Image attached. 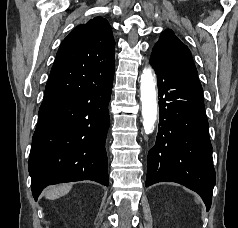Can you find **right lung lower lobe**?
I'll return each mask as SVG.
<instances>
[{
	"mask_svg": "<svg viewBox=\"0 0 238 228\" xmlns=\"http://www.w3.org/2000/svg\"><path fill=\"white\" fill-rule=\"evenodd\" d=\"M113 76L42 102L28 162L35 200L47 185L81 180L108 185L105 140Z\"/></svg>",
	"mask_w": 238,
	"mask_h": 228,
	"instance_id": "right-lung-lower-lobe-1",
	"label": "right lung lower lobe"
}]
</instances>
